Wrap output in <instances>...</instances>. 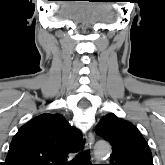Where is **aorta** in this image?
Segmentation results:
<instances>
[{"label": "aorta", "instance_id": "aorta-1", "mask_svg": "<svg viewBox=\"0 0 165 165\" xmlns=\"http://www.w3.org/2000/svg\"><path fill=\"white\" fill-rule=\"evenodd\" d=\"M111 152V146L107 142H98L95 145V156L97 159H102L108 156Z\"/></svg>", "mask_w": 165, "mask_h": 165}]
</instances>
